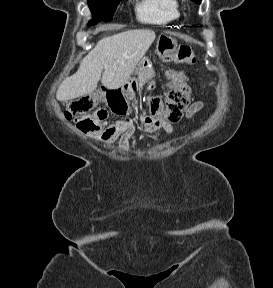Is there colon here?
<instances>
[{
  "label": "colon",
  "instance_id": "colon-1",
  "mask_svg": "<svg viewBox=\"0 0 273 288\" xmlns=\"http://www.w3.org/2000/svg\"><path fill=\"white\" fill-rule=\"evenodd\" d=\"M159 55L167 62L183 65H193L196 61L193 49L181 45L172 39L162 36L159 40ZM170 89L165 99L152 95L147 99V109L151 117L169 123L180 120L190 102V89L186 84L185 73L181 70L169 72ZM105 108H97V100L92 96H82L72 100L65 109L64 115L68 120H74L82 132H93L108 116H127L130 106L121 90L108 89L103 94ZM125 121H131L126 118Z\"/></svg>",
  "mask_w": 273,
  "mask_h": 288
}]
</instances>
